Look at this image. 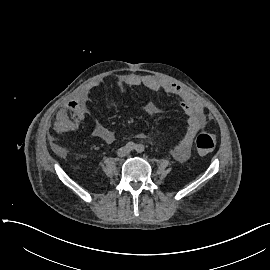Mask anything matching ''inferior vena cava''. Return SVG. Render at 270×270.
<instances>
[{
  "instance_id": "obj_1",
  "label": "inferior vena cava",
  "mask_w": 270,
  "mask_h": 270,
  "mask_svg": "<svg viewBox=\"0 0 270 270\" xmlns=\"http://www.w3.org/2000/svg\"><path fill=\"white\" fill-rule=\"evenodd\" d=\"M129 153H130V150H129L128 148L123 147V148L119 149V151H118V156H119V157H125V156H127Z\"/></svg>"
}]
</instances>
